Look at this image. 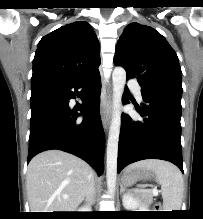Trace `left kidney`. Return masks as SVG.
<instances>
[{
	"instance_id": "1",
	"label": "left kidney",
	"mask_w": 203,
	"mask_h": 219,
	"mask_svg": "<svg viewBox=\"0 0 203 219\" xmlns=\"http://www.w3.org/2000/svg\"><path fill=\"white\" fill-rule=\"evenodd\" d=\"M123 206L128 209V210H133V209H136V208H142L140 210H147V209H144L146 207H143L139 204V201L134 198V196L130 193H127L123 196Z\"/></svg>"
}]
</instances>
